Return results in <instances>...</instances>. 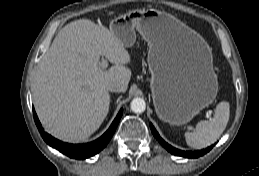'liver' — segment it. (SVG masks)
Segmentation results:
<instances>
[{"label":"liver","instance_id":"1","mask_svg":"<svg viewBox=\"0 0 259 176\" xmlns=\"http://www.w3.org/2000/svg\"><path fill=\"white\" fill-rule=\"evenodd\" d=\"M100 56L113 63L102 69ZM130 55L112 31L88 19L64 26L43 55L35 73L33 99L47 132L64 141L86 140L109 111L108 86L127 90Z\"/></svg>","mask_w":259,"mask_h":176}]
</instances>
